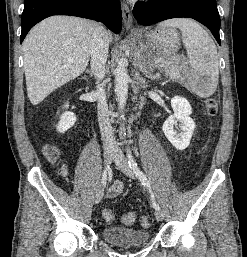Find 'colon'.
Segmentation results:
<instances>
[{
    "label": "colon",
    "instance_id": "5ec220e1",
    "mask_svg": "<svg viewBox=\"0 0 247 257\" xmlns=\"http://www.w3.org/2000/svg\"><path fill=\"white\" fill-rule=\"evenodd\" d=\"M206 109L209 116H215L218 113V98L216 96H212L206 100ZM43 152L48 159H53L58 155L57 148L52 145H46ZM102 217L108 223L112 222L114 219L113 212L110 209L103 210ZM135 219V215L129 212L123 215L122 221L127 225H132ZM139 223L144 228L150 225L149 218L145 215L140 217Z\"/></svg>",
    "mask_w": 247,
    "mask_h": 257
}]
</instances>
